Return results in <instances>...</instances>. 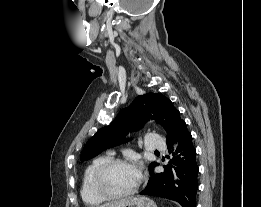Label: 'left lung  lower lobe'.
I'll return each mask as SVG.
<instances>
[{"instance_id": "obj_1", "label": "left lung lower lobe", "mask_w": 261, "mask_h": 207, "mask_svg": "<svg viewBox=\"0 0 261 207\" xmlns=\"http://www.w3.org/2000/svg\"><path fill=\"white\" fill-rule=\"evenodd\" d=\"M167 145L173 159L164 166L162 173H154L153 169L150 171L148 184L140 194L170 199L182 207H196L199 168L192 136L185 121L181 120Z\"/></svg>"}]
</instances>
